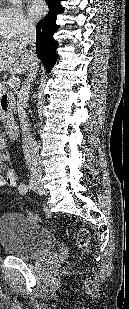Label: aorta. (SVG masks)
Masks as SVG:
<instances>
[{"label":"aorta","instance_id":"obj_1","mask_svg":"<svg viewBox=\"0 0 129 309\" xmlns=\"http://www.w3.org/2000/svg\"><path fill=\"white\" fill-rule=\"evenodd\" d=\"M10 3H17L19 0H8Z\"/></svg>","mask_w":129,"mask_h":309}]
</instances>
